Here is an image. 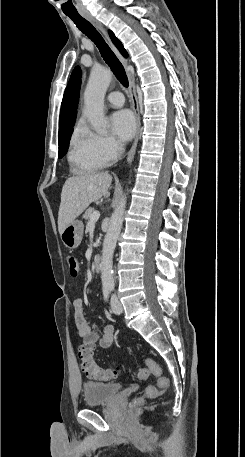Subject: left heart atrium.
Returning a JSON list of instances; mask_svg holds the SVG:
<instances>
[{"label":"left heart atrium","instance_id":"39dd6f15","mask_svg":"<svg viewBox=\"0 0 245 457\" xmlns=\"http://www.w3.org/2000/svg\"><path fill=\"white\" fill-rule=\"evenodd\" d=\"M110 121L114 132L121 140H129L133 136L136 129V121L130 111H117L112 115Z\"/></svg>","mask_w":245,"mask_h":457}]
</instances>
